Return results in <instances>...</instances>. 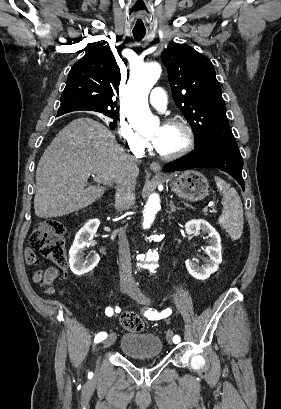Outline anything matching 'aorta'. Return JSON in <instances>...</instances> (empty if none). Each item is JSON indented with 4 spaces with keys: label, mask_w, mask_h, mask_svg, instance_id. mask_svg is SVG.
Returning a JSON list of instances; mask_svg holds the SVG:
<instances>
[{
    "label": "aorta",
    "mask_w": 281,
    "mask_h": 409,
    "mask_svg": "<svg viewBox=\"0 0 281 409\" xmlns=\"http://www.w3.org/2000/svg\"><path fill=\"white\" fill-rule=\"evenodd\" d=\"M160 75L161 66L158 63L143 64L131 74L127 86L126 113L133 128L139 132L151 131L159 125L149 109L148 95ZM159 208L158 194H151L143 213L145 228L150 227Z\"/></svg>",
    "instance_id": "obj_1"
}]
</instances>
